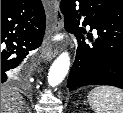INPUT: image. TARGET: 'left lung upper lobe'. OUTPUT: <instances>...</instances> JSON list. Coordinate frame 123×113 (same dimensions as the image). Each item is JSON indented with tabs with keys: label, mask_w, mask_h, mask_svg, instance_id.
I'll return each instance as SVG.
<instances>
[{
	"label": "left lung upper lobe",
	"mask_w": 123,
	"mask_h": 113,
	"mask_svg": "<svg viewBox=\"0 0 123 113\" xmlns=\"http://www.w3.org/2000/svg\"><path fill=\"white\" fill-rule=\"evenodd\" d=\"M113 1L119 4L120 6H123V0H113Z\"/></svg>",
	"instance_id": "obj_1"
}]
</instances>
